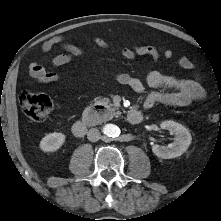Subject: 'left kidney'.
Masks as SVG:
<instances>
[{"instance_id": "5707ae66", "label": "left kidney", "mask_w": 221, "mask_h": 221, "mask_svg": "<svg viewBox=\"0 0 221 221\" xmlns=\"http://www.w3.org/2000/svg\"><path fill=\"white\" fill-rule=\"evenodd\" d=\"M161 129L168 130L175 135L174 142L168 146L153 145L152 152L159 158L171 159L181 156L187 151L191 144L192 137L189 130L182 124L172 120L163 121L160 123Z\"/></svg>"}]
</instances>
